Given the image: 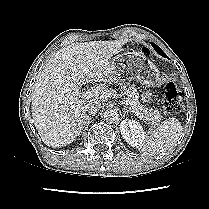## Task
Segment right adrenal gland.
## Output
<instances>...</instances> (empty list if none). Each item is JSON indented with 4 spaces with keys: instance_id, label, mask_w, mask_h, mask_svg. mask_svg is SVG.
Returning a JSON list of instances; mask_svg holds the SVG:
<instances>
[{
    "instance_id": "2a0ac1e0",
    "label": "right adrenal gland",
    "mask_w": 209,
    "mask_h": 209,
    "mask_svg": "<svg viewBox=\"0 0 209 209\" xmlns=\"http://www.w3.org/2000/svg\"><path fill=\"white\" fill-rule=\"evenodd\" d=\"M91 117H92V116H86V120H85V123H84V125H85L86 127L83 126V127H82V130L87 128V126H88L89 123H90Z\"/></svg>"
}]
</instances>
